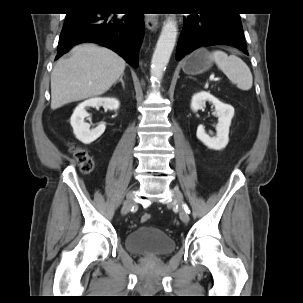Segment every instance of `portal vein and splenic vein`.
I'll return each instance as SVG.
<instances>
[{
    "label": "portal vein and splenic vein",
    "mask_w": 303,
    "mask_h": 303,
    "mask_svg": "<svg viewBox=\"0 0 303 303\" xmlns=\"http://www.w3.org/2000/svg\"><path fill=\"white\" fill-rule=\"evenodd\" d=\"M210 80L211 81H218V80H220V78H215L214 75H211Z\"/></svg>",
    "instance_id": "1"
}]
</instances>
